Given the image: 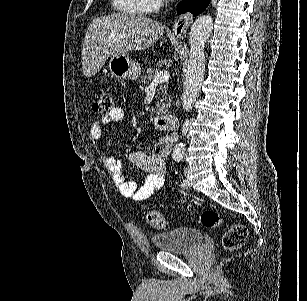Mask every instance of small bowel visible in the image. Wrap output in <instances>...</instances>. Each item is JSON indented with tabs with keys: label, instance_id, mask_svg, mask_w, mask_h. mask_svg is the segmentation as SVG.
<instances>
[{
	"label": "small bowel",
	"instance_id": "c3829d8e",
	"mask_svg": "<svg viewBox=\"0 0 307 301\" xmlns=\"http://www.w3.org/2000/svg\"><path fill=\"white\" fill-rule=\"evenodd\" d=\"M123 119L124 110L122 108H111L101 119L93 122L90 128V137L95 140L100 139L105 125L121 122ZM169 145V139H162L149 153L135 151L127 155L130 162L142 171L148 173L144 183L141 185H138L134 181L127 180L121 163L113 159L108 153L101 152L100 157L119 192L127 198L143 201L151 197L164 185V161L169 151Z\"/></svg>",
	"mask_w": 307,
	"mask_h": 301
}]
</instances>
